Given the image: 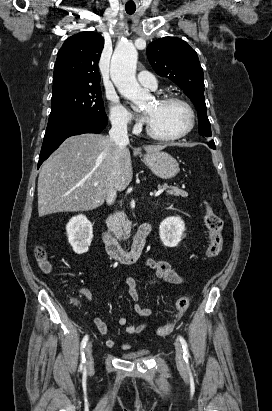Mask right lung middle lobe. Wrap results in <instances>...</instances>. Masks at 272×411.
Here are the masks:
<instances>
[{"label":"right lung middle lobe","mask_w":272,"mask_h":411,"mask_svg":"<svg viewBox=\"0 0 272 411\" xmlns=\"http://www.w3.org/2000/svg\"><path fill=\"white\" fill-rule=\"evenodd\" d=\"M100 86L71 88L53 94L47 129L78 118L107 120Z\"/></svg>","instance_id":"obj_1"}]
</instances>
